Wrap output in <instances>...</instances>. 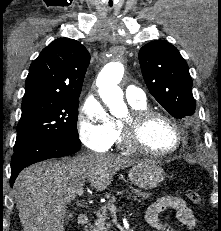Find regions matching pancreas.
<instances>
[{"label": "pancreas", "instance_id": "1", "mask_svg": "<svg viewBox=\"0 0 221 231\" xmlns=\"http://www.w3.org/2000/svg\"><path fill=\"white\" fill-rule=\"evenodd\" d=\"M134 195L128 196V199L131 197H134L135 200H138L137 198L140 197L142 199H146L149 197V194H146L144 192H141L140 190L134 189ZM119 194H123V191L118 192ZM115 201V198L112 197L111 200L101 207L97 212V220L95 221V224L93 227H91L90 231H109V228L111 226L110 223H107L106 220L109 219L108 217V210L110 209L111 204Z\"/></svg>", "mask_w": 221, "mask_h": 231}]
</instances>
